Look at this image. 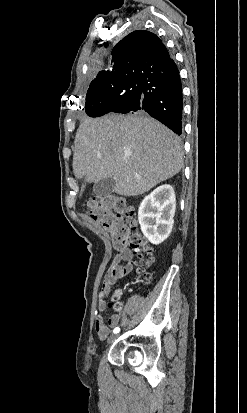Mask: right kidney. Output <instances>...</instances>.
<instances>
[{"mask_svg": "<svg viewBox=\"0 0 247 413\" xmlns=\"http://www.w3.org/2000/svg\"><path fill=\"white\" fill-rule=\"evenodd\" d=\"M176 209L175 192L171 184H161L144 196L138 209V221L144 237L160 245L169 237Z\"/></svg>", "mask_w": 247, "mask_h": 413, "instance_id": "obj_1", "label": "right kidney"}]
</instances>
